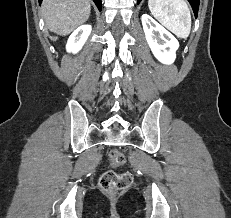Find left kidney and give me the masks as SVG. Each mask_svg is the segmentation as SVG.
<instances>
[{"label":"left kidney","instance_id":"1","mask_svg":"<svg viewBox=\"0 0 231 218\" xmlns=\"http://www.w3.org/2000/svg\"><path fill=\"white\" fill-rule=\"evenodd\" d=\"M141 20L147 43L154 56L163 64H172L179 47L177 39L150 15L143 14Z\"/></svg>","mask_w":231,"mask_h":218}]
</instances>
